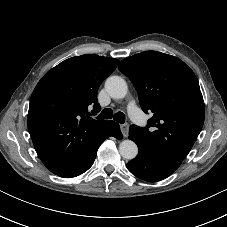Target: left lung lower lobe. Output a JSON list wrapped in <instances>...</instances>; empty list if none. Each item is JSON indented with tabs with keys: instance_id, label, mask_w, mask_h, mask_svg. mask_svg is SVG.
Segmentation results:
<instances>
[{
	"instance_id": "1",
	"label": "left lung lower lobe",
	"mask_w": 227,
	"mask_h": 227,
	"mask_svg": "<svg viewBox=\"0 0 227 227\" xmlns=\"http://www.w3.org/2000/svg\"><path fill=\"white\" fill-rule=\"evenodd\" d=\"M129 138L139 148L137 157L127 163L128 170L136 177L150 182L160 181L170 176L181 165V161L162 156L140 144L132 127L129 129Z\"/></svg>"
}]
</instances>
